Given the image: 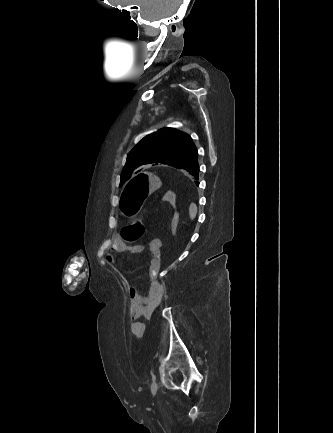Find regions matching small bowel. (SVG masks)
<instances>
[{"label":"small bowel","instance_id":"1","mask_svg":"<svg viewBox=\"0 0 333 433\" xmlns=\"http://www.w3.org/2000/svg\"><path fill=\"white\" fill-rule=\"evenodd\" d=\"M162 247L163 243L160 239H152L149 242V271L154 279L150 284L147 293H142L137 287H132L129 290L130 303L128 307V315L132 320L130 328L133 335L137 338H141L145 331V323L141 321V319L148 320L153 316L165 294V286L158 278L162 262ZM143 250L144 247L141 245L127 246L120 243H113L108 251L107 260L115 263L117 254L122 251L140 253Z\"/></svg>","mask_w":333,"mask_h":433}]
</instances>
